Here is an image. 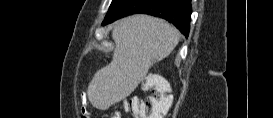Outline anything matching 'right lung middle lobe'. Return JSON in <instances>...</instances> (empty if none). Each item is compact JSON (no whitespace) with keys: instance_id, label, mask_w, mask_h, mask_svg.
<instances>
[{"instance_id":"dd1d6c3e","label":"right lung middle lobe","mask_w":273,"mask_h":118,"mask_svg":"<svg viewBox=\"0 0 273 118\" xmlns=\"http://www.w3.org/2000/svg\"><path fill=\"white\" fill-rule=\"evenodd\" d=\"M121 2L122 0H113L110 5L109 11L107 12V15H109Z\"/></svg>"}]
</instances>
